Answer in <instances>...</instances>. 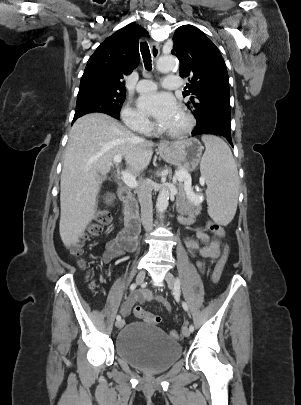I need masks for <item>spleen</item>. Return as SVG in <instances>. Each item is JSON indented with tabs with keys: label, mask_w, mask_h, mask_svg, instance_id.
Listing matches in <instances>:
<instances>
[{
	"label": "spleen",
	"mask_w": 301,
	"mask_h": 405,
	"mask_svg": "<svg viewBox=\"0 0 301 405\" xmlns=\"http://www.w3.org/2000/svg\"><path fill=\"white\" fill-rule=\"evenodd\" d=\"M205 152L200 163L202 178L207 183L208 213L221 224H229L237 209L239 177L228 145L219 137H202Z\"/></svg>",
	"instance_id": "spleen-1"
}]
</instances>
